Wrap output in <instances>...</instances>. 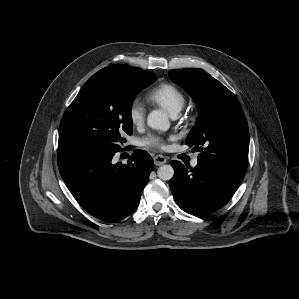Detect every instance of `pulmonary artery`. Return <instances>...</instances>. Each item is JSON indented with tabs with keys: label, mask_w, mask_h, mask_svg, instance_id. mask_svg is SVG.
Wrapping results in <instances>:
<instances>
[{
	"label": "pulmonary artery",
	"mask_w": 299,
	"mask_h": 299,
	"mask_svg": "<svg viewBox=\"0 0 299 299\" xmlns=\"http://www.w3.org/2000/svg\"><path fill=\"white\" fill-rule=\"evenodd\" d=\"M198 164L197 159L192 160L191 165L195 167Z\"/></svg>",
	"instance_id": "e3ab8cb5"
}]
</instances>
